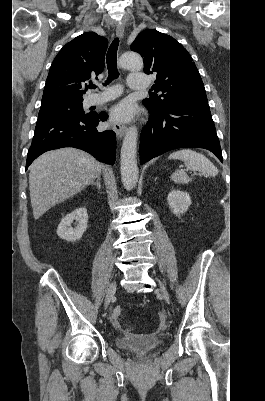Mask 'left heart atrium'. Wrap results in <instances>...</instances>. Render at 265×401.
Returning a JSON list of instances; mask_svg holds the SVG:
<instances>
[{
    "mask_svg": "<svg viewBox=\"0 0 265 401\" xmlns=\"http://www.w3.org/2000/svg\"><path fill=\"white\" fill-rule=\"evenodd\" d=\"M135 113V106L130 100H123L110 110L111 119L115 122L128 121Z\"/></svg>",
    "mask_w": 265,
    "mask_h": 401,
    "instance_id": "39dd6f15",
    "label": "left heart atrium"
}]
</instances>
